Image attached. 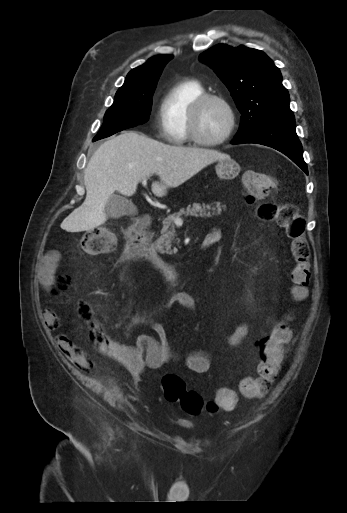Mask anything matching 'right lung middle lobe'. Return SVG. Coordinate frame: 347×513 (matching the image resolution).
I'll return each mask as SVG.
<instances>
[{
  "label": "right lung middle lobe",
  "mask_w": 347,
  "mask_h": 513,
  "mask_svg": "<svg viewBox=\"0 0 347 513\" xmlns=\"http://www.w3.org/2000/svg\"><path fill=\"white\" fill-rule=\"evenodd\" d=\"M156 85L157 82L135 89L120 88L112 106L105 113L104 123L94 141L145 123L150 115Z\"/></svg>",
  "instance_id": "right-lung-middle-lobe-1"
}]
</instances>
